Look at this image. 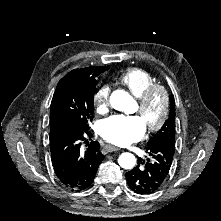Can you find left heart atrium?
<instances>
[{
  "label": "left heart atrium",
  "mask_w": 221,
  "mask_h": 221,
  "mask_svg": "<svg viewBox=\"0 0 221 221\" xmlns=\"http://www.w3.org/2000/svg\"><path fill=\"white\" fill-rule=\"evenodd\" d=\"M146 126L136 115H113L99 125V134L107 142L127 146L143 138Z\"/></svg>",
  "instance_id": "obj_1"
}]
</instances>
